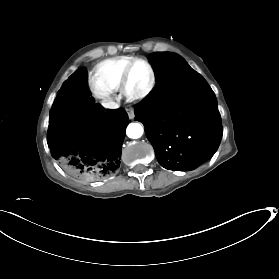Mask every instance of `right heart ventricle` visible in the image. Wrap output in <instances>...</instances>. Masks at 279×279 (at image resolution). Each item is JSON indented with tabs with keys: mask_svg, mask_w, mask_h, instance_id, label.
<instances>
[{
	"mask_svg": "<svg viewBox=\"0 0 279 279\" xmlns=\"http://www.w3.org/2000/svg\"><path fill=\"white\" fill-rule=\"evenodd\" d=\"M131 58V56H117L98 63L92 71L93 86L108 93L120 90L122 71Z\"/></svg>",
	"mask_w": 279,
	"mask_h": 279,
	"instance_id": "1",
	"label": "right heart ventricle"
}]
</instances>
